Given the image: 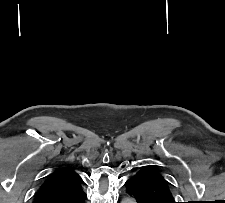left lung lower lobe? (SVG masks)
Returning a JSON list of instances; mask_svg holds the SVG:
<instances>
[{
  "mask_svg": "<svg viewBox=\"0 0 225 203\" xmlns=\"http://www.w3.org/2000/svg\"><path fill=\"white\" fill-rule=\"evenodd\" d=\"M124 187L126 193L135 199L137 203H156L155 201L147 198L130 179L125 182Z\"/></svg>",
  "mask_w": 225,
  "mask_h": 203,
  "instance_id": "left-lung-lower-lobe-1",
  "label": "left lung lower lobe"
}]
</instances>
